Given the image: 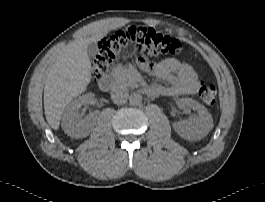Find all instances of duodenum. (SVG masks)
<instances>
[{"label": "duodenum", "instance_id": "duodenum-1", "mask_svg": "<svg viewBox=\"0 0 265 202\" xmlns=\"http://www.w3.org/2000/svg\"><path fill=\"white\" fill-rule=\"evenodd\" d=\"M98 86L104 91L112 90L115 87V77L112 75L102 77L98 82ZM141 92L146 95H152L155 93V89L150 86H144L141 88Z\"/></svg>", "mask_w": 265, "mask_h": 202}]
</instances>
